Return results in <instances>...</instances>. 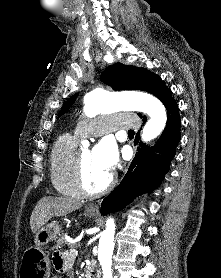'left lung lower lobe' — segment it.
I'll list each match as a JSON object with an SVG mask.
<instances>
[{
  "instance_id": "1",
  "label": "left lung lower lobe",
  "mask_w": 221,
  "mask_h": 278,
  "mask_svg": "<svg viewBox=\"0 0 221 278\" xmlns=\"http://www.w3.org/2000/svg\"><path fill=\"white\" fill-rule=\"evenodd\" d=\"M166 110L167 123L159 141L148 149L140 143L123 180L103 199L101 205L103 215L122 209L141 193L151 192L160 185L164 174L168 172L180 141L181 120L175 100L169 103Z\"/></svg>"
}]
</instances>
